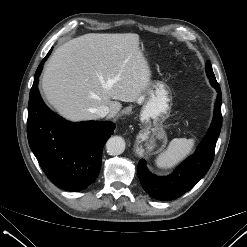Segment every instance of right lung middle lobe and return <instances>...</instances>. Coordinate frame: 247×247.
Masks as SVG:
<instances>
[{
    "mask_svg": "<svg viewBox=\"0 0 247 247\" xmlns=\"http://www.w3.org/2000/svg\"><path fill=\"white\" fill-rule=\"evenodd\" d=\"M50 52L51 51H49V53H48V55L45 57V59L41 62V64L39 65V67H38V69H37V71H36V74H35V76H39L40 75V72L42 71V64L44 63V61L47 59V57L49 56V54H50Z\"/></svg>",
    "mask_w": 247,
    "mask_h": 247,
    "instance_id": "right-lung-middle-lobe-1",
    "label": "right lung middle lobe"
}]
</instances>
